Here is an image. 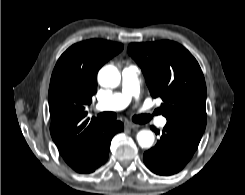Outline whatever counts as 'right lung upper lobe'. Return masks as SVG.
Returning <instances> with one entry per match:
<instances>
[{
    "instance_id": "right-lung-upper-lobe-1",
    "label": "right lung upper lobe",
    "mask_w": 245,
    "mask_h": 195,
    "mask_svg": "<svg viewBox=\"0 0 245 195\" xmlns=\"http://www.w3.org/2000/svg\"><path fill=\"white\" fill-rule=\"evenodd\" d=\"M123 45L91 39L69 47L58 59L49 86L50 133L72 168L87 162L95 131L103 121L86 118L84 110L97 91V72Z\"/></svg>"
}]
</instances>
